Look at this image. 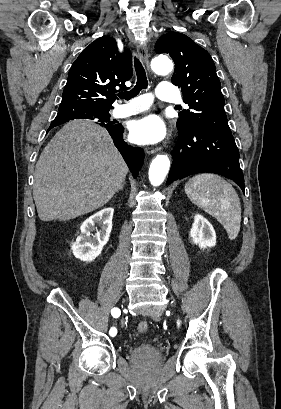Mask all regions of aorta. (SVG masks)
<instances>
[{"mask_svg": "<svg viewBox=\"0 0 281 409\" xmlns=\"http://www.w3.org/2000/svg\"><path fill=\"white\" fill-rule=\"evenodd\" d=\"M152 70L158 75H167L173 70L172 61L166 56L155 57L151 62ZM170 168V160L167 155H157L152 160L149 168V180L153 186L163 183Z\"/></svg>", "mask_w": 281, "mask_h": 409, "instance_id": "obj_1", "label": "aorta"}]
</instances>
